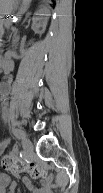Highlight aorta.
<instances>
[{
  "instance_id": "obj_1",
  "label": "aorta",
  "mask_w": 103,
  "mask_h": 193,
  "mask_svg": "<svg viewBox=\"0 0 103 193\" xmlns=\"http://www.w3.org/2000/svg\"><path fill=\"white\" fill-rule=\"evenodd\" d=\"M30 2H31V0H22V3H21L20 8L18 10L19 15H22L27 11Z\"/></svg>"
}]
</instances>
